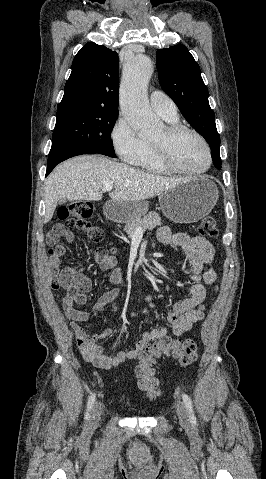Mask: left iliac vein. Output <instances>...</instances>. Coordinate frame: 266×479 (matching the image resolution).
<instances>
[{"label": "left iliac vein", "mask_w": 266, "mask_h": 479, "mask_svg": "<svg viewBox=\"0 0 266 479\" xmlns=\"http://www.w3.org/2000/svg\"><path fill=\"white\" fill-rule=\"evenodd\" d=\"M176 413H177V416L179 418L180 423L183 426L187 427V426L190 425L189 415H188L187 409H186L183 402H181V401L177 402Z\"/></svg>", "instance_id": "left-iliac-vein-1"}]
</instances>
